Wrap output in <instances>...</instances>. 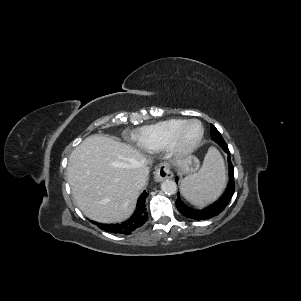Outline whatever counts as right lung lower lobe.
<instances>
[{
    "label": "right lung lower lobe",
    "mask_w": 301,
    "mask_h": 301,
    "mask_svg": "<svg viewBox=\"0 0 301 301\" xmlns=\"http://www.w3.org/2000/svg\"><path fill=\"white\" fill-rule=\"evenodd\" d=\"M148 196V193L144 191L137 202L135 213L127 221L119 224H102L96 223L98 227L106 232L114 234H125L129 235L138 227L142 226L147 220V213L145 209V199ZM92 223H95L92 221Z\"/></svg>",
    "instance_id": "1"
}]
</instances>
